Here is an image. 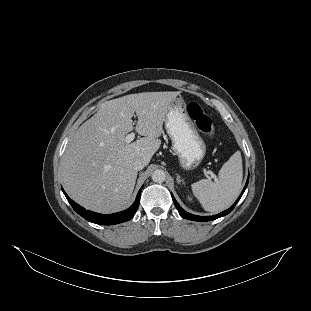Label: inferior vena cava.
Masks as SVG:
<instances>
[{"label":"inferior vena cava","mask_w":311,"mask_h":311,"mask_svg":"<svg viewBox=\"0 0 311 311\" xmlns=\"http://www.w3.org/2000/svg\"><path fill=\"white\" fill-rule=\"evenodd\" d=\"M133 167L135 170H142L144 167H145V163H144V160L141 159V158H136L134 161H133Z\"/></svg>","instance_id":"602c4592"}]
</instances>
